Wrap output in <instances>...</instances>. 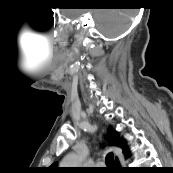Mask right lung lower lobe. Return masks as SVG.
<instances>
[{
    "instance_id": "1",
    "label": "right lung lower lobe",
    "mask_w": 173,
    "mask_h": 173,
    "mask_svg": "<svg viewBox=\"0 0 173 173\" xmlns=\"http://www.w3.org/2000/svg\"><path fill=\"white\" fill-rule=\"evenodd\" d=\"M130 152H128L126 155H129ZM118 173H141L142 170L140 168H127V167H119L117 170Z\"/></svg>"
}]
</instances>
